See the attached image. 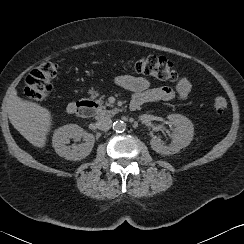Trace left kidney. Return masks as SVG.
<instances>
[{
	"label": "left kidney",
	"instance_id": "5707ae66",
	"mask_svg": "<svg viewBox=\"0 0 244 244\" xmlns=\"http://www.w3.org/2000/svg\"><path fill=\"white\" fill-rule=\"evenodd\" d=\"M167 119L174 127L172 141L164 144L160 137L154 136L150 140L151 148L162 155H172L186 148L194 136V126L192 122L181 114H170Z\"/></svg>",
	"mask_w": 244,
	"mask_h": 244
}]
</instances>
